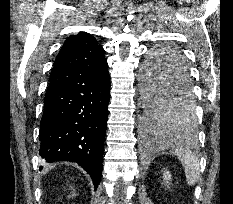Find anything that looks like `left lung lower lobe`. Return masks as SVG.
I'll return each mask as SVG.
<instances>
[{"label": "left lung lower lobe", "instance_id": "1", "mask_svg": "<svg viewBox=\"0 0 233 204\" xmlns=\"http://www.w3.org/2000/svg\"><path fill=\"white\" fill-rule=\"evenodd\" d=\"M179 68L175 75L170 79V82L168 84V88H170V92H176L179 90H184L187 87L191 86L190 76H189V70L185 62H181L179 65ZM146 130L148 131V138L151 139L153 137L152 134L154 133H169L172 132L170 130H166L162 127H159L155 125L154 123H147L146 122ZM175 131V130H173Z\"/></svg>", "mask_w": 233, "mask_h": 204}]
</instances>
